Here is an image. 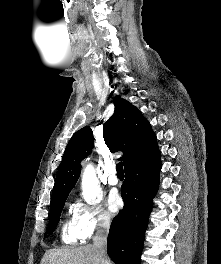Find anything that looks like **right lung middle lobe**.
Masks as SVG:
<instances>
[{
    "mask_svg": "<svg viewBox=\"0 0 221 264\" xmlns=\"http://www.w3.org/2000/svg\"><path fill=\"white\" fill-rule=\"evenodd\" d=\"M67 197H68V193L60 195L51 200L50 219L45 237H47V234L48 235L52 234L55 227L57 226L60 219L61 211L64 207Z\"/></svg>",
    "mask_w": 221,
    "mask_h": 264,
    "instance_id": "obj_1",
    "label": "right lung middle lobe"
}]
</instances>
